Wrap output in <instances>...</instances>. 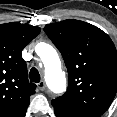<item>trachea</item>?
Masks as SVG:
<instances>
[{
	"instance_id": "1",
	"label": "trachea",
	"mask_w": 117,
	"mask_h": 117,
	"mask_svg": "<svg viewBox=\"0 0 117 117\" xmlns=\"http://www.w3.org/2000/svg\"><path fill=\"white\" fill-rule=\"evenodd\" d=\"M29 76H30L31 82L38 83L40 81V74H39L37 68H35V67L31 68Z\"/></svg>"
}]
</instances>
